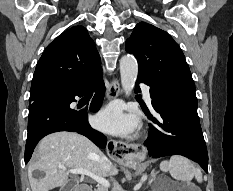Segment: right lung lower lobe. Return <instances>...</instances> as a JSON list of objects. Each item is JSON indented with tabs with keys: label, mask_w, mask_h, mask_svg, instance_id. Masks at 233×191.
I'll use <instances>...</instances> for the list:
<instances>
[{
	"label": "right lung lower lobe",
	"mask_w": 233,
	"mask_h": 191,
	"mask_svg": "<svg viewBox=\"0 0 233 191\" xmlns=\"http://www.w3.org/2000/svg\"><path fill=\"white\" fill-rule=\"evenodd\" d=\"M95 91L90 110H99L105 93L102 73L81 86L72 88L41 87L30 93L28 135L25 146V163L29 161L37 143L46 135L58 131L82 134L101 148L106 147L107 138L91 128L86 111L70 108L75 96Z\"/></svg>",
	"instance_id": "obj_1"
}]
</instances>
